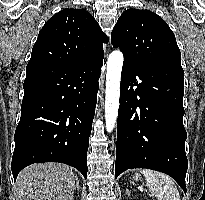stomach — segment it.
I'll return each instance as SVG.
<instances>
[{
	"mask_svg": "<svg viewBox=\"0 0 205 200\" xmlns=\"http://www.w3.org/2000/svg\"><path fill=\"white\" fill-rule=\"evenodd\" d=\"M134 179H135L136 181H138V180L140 179L139 174H136V175L134 176Z\"/></svg>",
	"mask_w": 205,
	"mask_h": 200,
	"instance_id": "stomach-1",
	"label": "stomach"
}]
</instances>
